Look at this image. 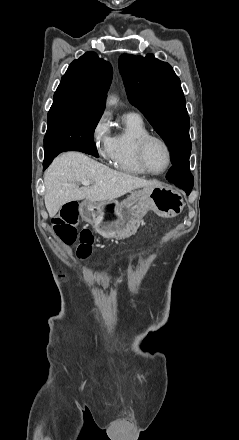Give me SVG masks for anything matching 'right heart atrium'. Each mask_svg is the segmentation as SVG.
I'll return each instance as SVG.
<instances>
[{
    "mask_svg": "<svg viewBox=\"0 0 239 440\" xmlns=\"http://www.w3.org/2000/svg\"><path fill=\"white\" fill-rule=\"evenodd\" d=\"M89 139L101 159L111 158L114 150V137L111 134L109 120L105 113L100 115L91 126Z\"/></svg>",
    "mask_w": 239,
    "mask_h": 440,
    "instance_id": "d8ad5b80",
    "label": "right heart atrium"
}]
</instances>
